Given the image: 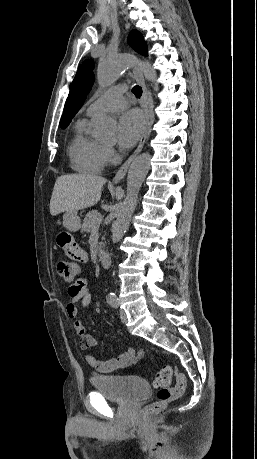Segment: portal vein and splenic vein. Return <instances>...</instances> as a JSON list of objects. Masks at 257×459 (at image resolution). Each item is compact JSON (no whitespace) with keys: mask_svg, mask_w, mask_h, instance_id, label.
<instances>
[{"mask_svg":"<svg viewBox=\"0 0 257 459\" xmlns=\"http://www.w3.org/2000/svg\"><path fill=\"white\" fill-rule=\"evenodd\" d=\"M102 219H103V217H102V215L99 213L98 216H97L96 219H95L94 224L97 225V226L100 225V223L102 222Z\"/></svg>","mask_w":257,"mask_h":459,"instance_id":"portal-vein-and-splenic-vein-1","label":"portal vein and splenic vein"}]
</instances>
